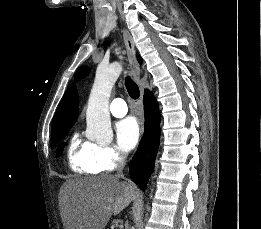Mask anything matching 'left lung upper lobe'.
<instances>
[{"label":"left lung upper lobe","mask_w":261,"mask_h":229,"mask_svg":"<svg viewBox=\"0 0 261 229\" xmlns=\"http://www.w3.org/2000/svg\"><path fill=\"white\" fill-rule=\"evenodd\" d=\"M88 73H89L88 68H87L86 66H82V67L78 70V72H77V74H76V78H77V79H81V78H83L84 76H86Z\"/></svg>","instance_id":"obj_1"}]
</instances>
